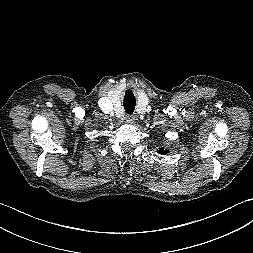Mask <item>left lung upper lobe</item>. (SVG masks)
Here are the masks:
<instances>
[{
    "label": "left lung upper lobe",
    "instance_id": "obj_1",
    "mask_svg": "<svg viewBox=\"0 0 253 253\" xmlns=\"http://www.w3.org/2000/svg\"><path fill=\"white\" fill-rule=\"evenodd\" d=\"M168 151H164L162 148L159 150V153H163V154H166Z\"/></svg>",
    "mask_w": 253,
    "mask_h": 253
}]
</instances>
